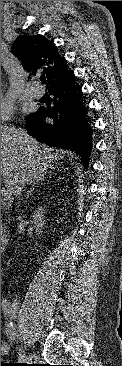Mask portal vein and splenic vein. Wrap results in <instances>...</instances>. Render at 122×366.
<instances>
[{"instance_id":"obj_1","label":"portal vein and splenic vein","mask_w":122,"mask_h":366,"mask_svg":"<svg viewBox=\"0 0 122 366\" xmlns=\"http://www.w3.org/2000/svg\"><path fill=\"white\" fill-rule=\"evenodd\" d=\"M1 195L4 199H7L11 196L10 190L8 188L1 189Z\"/></svg>"}]
</instances>
